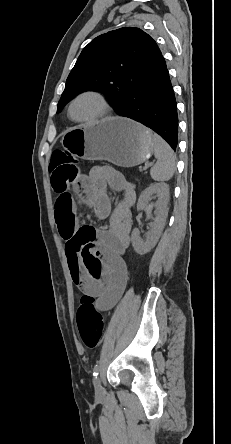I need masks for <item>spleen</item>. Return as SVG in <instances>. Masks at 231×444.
I'll use <instances>...</instances> for the list:
<instances>
[{"mask_svg": "<svg viewBox=\"0 0 231 444\" xmlns=\"http://www.w3.org/2000/svg\"><path fill=\"white\" fill-rule=\"evenodd\" d=\"M156 164L150 174L155 181H168L176 170V155L169 144L158 135H153Z\"/></svg>", "mask_w": 231, "mask_h": 444, "instance_id": "3e777b00", "label": "spleen"}]
</instances>
